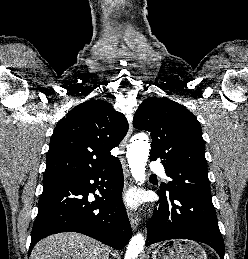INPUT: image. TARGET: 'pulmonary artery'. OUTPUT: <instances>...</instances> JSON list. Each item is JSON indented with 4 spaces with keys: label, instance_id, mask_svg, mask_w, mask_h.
<instances>
[{
    "label": "pulmonary artery",
    "instance_id": "obj_1",
    "mask_svg": "<svg viewBox=\"0 0 248 259\" xmlns=\"http://www.w3.org/2000/svg\"><path fill=\"white\" fill-rule=\"evenodd\" d=\"M150 170L153 172V173H163L164 172V167L161 163L159 162H152L150 164Z\"/></svg>",
    "mask_w": 248,
    "mask_h": 259
}]
</instances>
